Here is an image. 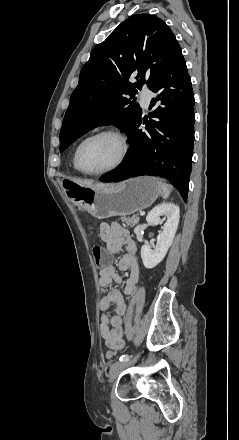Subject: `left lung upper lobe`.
<instances>
[{
	"mask_svg": "<svg viewBox=\"0 0 239 440\" xmlns=\"http://www.w3.org/2000/svg\"><path fill=\"white\" fill-rule=\"evenodd\" d=\"M177 40L155 15L135 14L95 46L70 97L59 135L60 151L90 129L114 123L126 133L141 117L134 98L160 74ZM137 75V83L129 82ZM137 88V89H136Z\"/></svg>",
	"mask_w": 239,
	"mask_h": 440,
	"instance_id": "1",
	"label": "left lung upper lobe"
}]
</instances>
